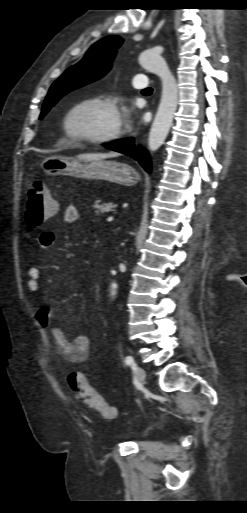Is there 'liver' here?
<instances>
[{
	"label": "liver",
	"mask_w": 247,
	"mask_h": 513,
	"mask_svg": "<svg viewBox=\"0 0 247 513\" xmlns=\"http://www.w3.org/2000/svg\"><path fill=\"white\" fill-rule=\"evenodd\" d=\"M118 156V153L116 152H110V153H84L80 154L78 157L80 159L84 160H99V159H105V158H111Z\"/></svg>",
	"instance_id": "obj_1"
}]
</instances>
